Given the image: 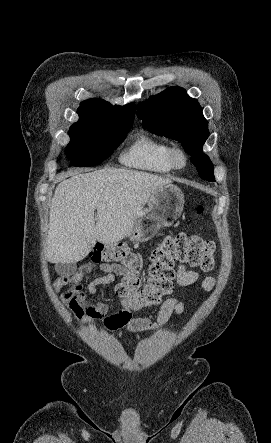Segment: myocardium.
Instances as JSON below:
<instances>
[{
	"label": "myocardium",
	"instance_id": "obj_1",
	"mask_svg": "<svg viewBox=\"0 0 271 443\" xmlns=\"http://www.w3.org/2000/svg\"><path fill=\"white\" fill-rule=\"evenodd\" d=\"M170 160L175 169L182 170L189 166L190 156L187 150L180 146L174 145L170 149Z\"/></svg>",
	"mask_w": 271,
	"mask_h": 443
}]
</instances>
